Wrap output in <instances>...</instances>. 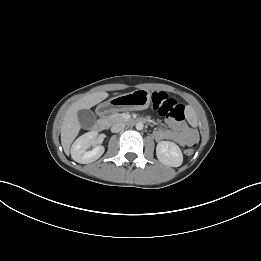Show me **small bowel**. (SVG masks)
I'll list each match as a JSON object with an SVG mask.
<instances>
[{"label": "small bowel", "mask_w": 261, "mask_h": 261, "mask_svg": "<svg viewBox=\"0 0 261 261\" xmlns=\"http://www.w3.org/2000/svg\"><path fill=\"white\" fill-rule=\"evenodd\" d=\"M168 125L169 129L161 128L154 132V137L157 141L172 140L181 146H186L197 140L196 132L188 128L184 123L169 120Z\"/></svg>", "instance_id": "obj_1"}]
</instances>
